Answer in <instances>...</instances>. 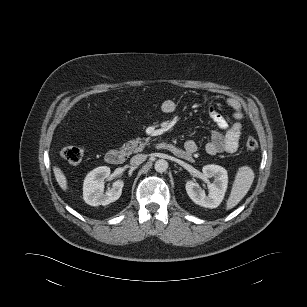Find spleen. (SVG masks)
Returning a JSON list of instances; mask_svg holds the SVG:
<instances>
[{"mask_svg":"<svg viewBox=\"0 0 307 307\" xmlns=\"http://www.w3.org/2000/svg\"><path fill=\"white\" fill-rule=\"evenodd\" d=\"M254 177V172L250 167L242 166L238 169L226 203L227 210L235 207L244 198L253 183Z\"/></svg>","mask_w":307,"mask_h":307,"instance_id":"obj_1","label":"spleen"}]
</instances>
